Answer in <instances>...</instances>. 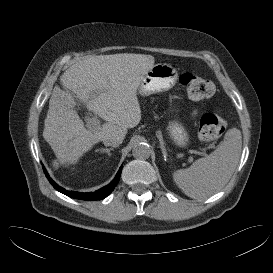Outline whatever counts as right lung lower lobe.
Instances as JSON below:
<instances>
[{"instance_id": "98d812e1", "label": "right lung lower lobe", "mask_w": 273, "mask_h": 273, "mask_svg": "<svg viewBox=\"0 0 273 273\" xmlns=\"http://www.w3.org/2000/svg\"><path fill=\"white\" fill-rule=\"evenodd\" d=\"M44 172L46 177L48 178V180L50 181V183L52 184V186L58 190L59 192L74 198V199H79V200H85V201H93V200H101L104 199L105 197H107L115 188V186L117 185L120 175H121V171H122V167L119 169L117 175L115 176V178L110 182L109 185L95 191V192H89V193H81V192H75V191H68L65 190L64 188L58 186L48 175L46 169L43 167Z\"/></svg>"}]
</instances>
